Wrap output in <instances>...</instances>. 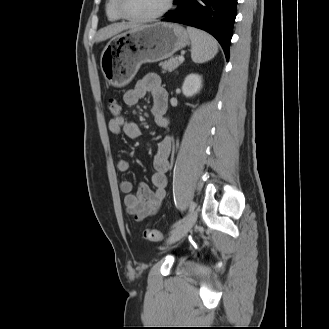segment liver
I'll use <instances>...</instances> for the list:
<instances>
[{
    "label": "liver",
    "instance_id": "liver-1",
    "mask_svg": "<svg viewBox=\"0 0 329 329\" xmlns=\"http://www.w3.org/2000/svg\"><path fill=\"white\" fill-rule=\"evenodd\" d=\"M136 27L137 26L129 25L125 23H117V24L109 25L99 30V32L97 33L96 41L97 42L104 41L124 30L134 29Z\"/></svg>",
    "mask_w": 329,
    "mask_h": 329
}]
</instances>
